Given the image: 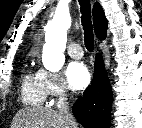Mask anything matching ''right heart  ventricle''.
<instances>
[{
  "label": "right heart ventricle",
  "mask_w": 142,
  "mask_h": 128,
  "mask_svg": "<svg viewBox=\"0 0 142 128\" xmlns=\"http://www.w3.org/2000/svg\"><path fill=\"white\" fill-rule=\"evenodd\" d=\"M21 97L24 103L31 106H41L46 97L42 89L38 72L28 71L21 84Z\"/></svg>",
  "instance_id": "e07e8e85"
}]
</instances>
